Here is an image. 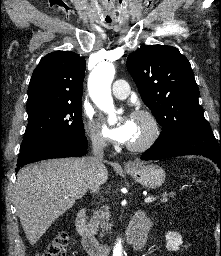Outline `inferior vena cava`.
<instances>
[{
	"mask_svg": "<svg viewBox=\"0 0 221 256\" xmlns=\"http://www.w3.org/2000/svg\"><path fill=\"white\" fill-rule=\"evenodd\" d=\"M92 141V156L88 159L86 164L88 170L87 182L92 193H96L100 189V179L104 164L102 163L104 149L106 147V140L102 135H93Z\"/></svg>",
	"mask_w": 221,
	"mask_h": 256,
	"instance_id": "inferior-vena-cava-1",
	"label": "inferior vena cava"
}]
</instances>
